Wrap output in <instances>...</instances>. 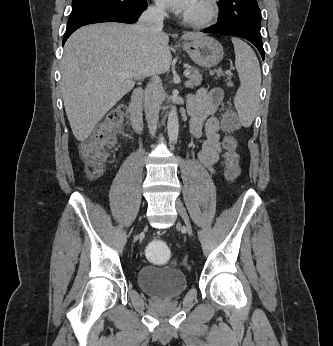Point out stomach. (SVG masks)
Instances as JSON below:
<instances>
[{
    "instance_id": "stomach-1",
    "label": "stomach",
    "mask_w": 333,
    "mask_h": 346,
    "mask_svg": "<svg viewBox=\"0 0 333 346\" xmlns=\"http://www.w3.org/2000/svg\"><path fill=\"white\" fill-rule=\"evenodd\" d=\"M183 49L198 65L210 68L216 66L224 56L222 45L212 37H201L183 44Z\"/></svg>"
}]
</instances>
